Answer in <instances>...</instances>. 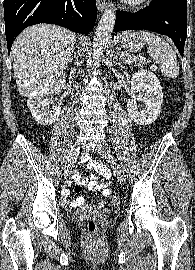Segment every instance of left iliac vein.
Listing matches in <instances>:
<instances>
[{"mask_svg": "<svg viewBox=\"0 0 195 270\" xmlns=\"http://www.w3.org/2000/svg\"><path fill=\"white\" fill-rule=\"evenodd\" d=\"M98 155H100L103 159H105L107 162L111 163L114 167V172L116 177L121 183H124L126 178H125V173L122 170V168L116 163V160L114 157L111 155L110 151L104 147L100 146L95 149Z\"/></svg>", "mask_w": 195, "mask_h": 270, "instance_id": "obj_1", "label": "left iliac vein"}]
</instances>
